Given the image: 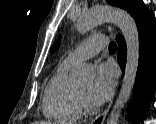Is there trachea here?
<instances>
[{
  "instance_id": "1",
  "label": "trachea",
  "mask_w": 156,
  "mask_h": 124,
  "mask_svg": "<svg viewBox=\"0 0 156 124\" xmlns=\"http://www.w3.org/2000/svg\"><path fill=\"white\" fill-rule=\"evenodd\" d=\"M117 48L116 44L114 42H110L109 44V50L110 51H115Z\"/></svg>"
}]
</instances>
